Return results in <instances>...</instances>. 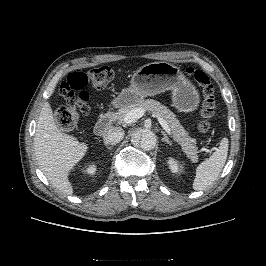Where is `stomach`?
I'll return each mask as SVG.
<instances>
[{
	"mask_svg": "<svg viewBox=\"0 0 266 266\" xmlns=\"http://www.w3.org/2000/svg\"><path fill=\"white\" fill-rule=\"evenodd\" d=\"M171 91L172 106L179 112L197 109L200 96L196 87L181 69L168 62H153L140 67L131 78L129 88L123 89L113 101L116 107L137 103L147 96Z\"/></svg>",
	"mask_w": 266,
	"mask_h": 266,
	"instance_id": "obj_1",
	"label": "stomach"
}]
</instances>
